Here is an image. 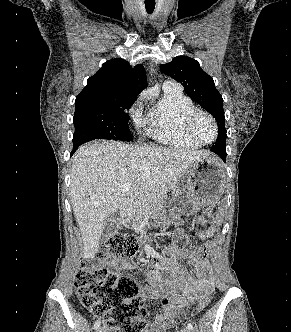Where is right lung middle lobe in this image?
I'll return each mask as SVG.
<instances>
[{
    "instance_id": "obj_1",
    "label": "right lung middle lobe",
    "mask_w": 291,
    "mask_h": 332,
    "mask_svg": "<svg viewBox=\"0 0 291 332\" xmlns=\"http://www.w3.org/2000/svg\"><path fill=\"white\" fill-rule=\"evenodd\" d=\"M134 103L128 97H91L75 101L73 144L93 139L131 141L127 110Z\"/></svg>"
}]
</instances>
